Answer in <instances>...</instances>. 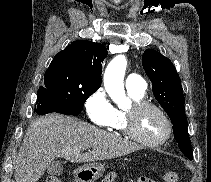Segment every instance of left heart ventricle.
Wrapping results in <instances>:
<instances>
[{
    "label": "left heart ventricle",
    "instance_id": "obj_1",
    "mask_svg": "<svg viewBox=\"0 0 211 182\" xmlns=\"http://www.w3.org/2000/svg\"><path fill=\"white\" fill-rule=\"evenodd\" d=\"M135 127L138 135L147 141L160 139L166 130L162 116L152 108H147L138 113Z\"/></svg>",
    "mask_w": 211,
    "mask_h": 182
}]
</instances>
